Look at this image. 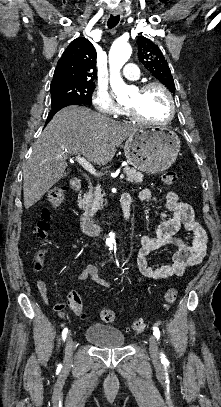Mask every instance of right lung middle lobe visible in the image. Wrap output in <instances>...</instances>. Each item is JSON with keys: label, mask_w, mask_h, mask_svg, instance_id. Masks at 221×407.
<instances>
[{"label": "right lung middle lobe", "mask_w": 221, "mask_h": 407, "mask_svg": "<svg viewBox=\"0 0 221 407\" xmlns=\"http://www.w3.org/2000/svg\"><path fill=\"white\" fill-rule=\"evenodd\" d=\"M94 89V82L73 83L51 89V106L68 101L91 105Z\"/></svg>", "instance_id": "right-lung-middle-lobe-1"}]
</instances>
